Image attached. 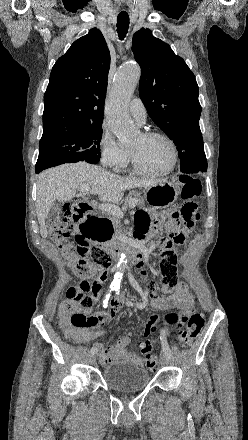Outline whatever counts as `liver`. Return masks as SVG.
I'll return each instance as SVG.
<instances>
[{
  "instance_id": "liver-1",
  "label": "liver",
  "mask_w": 248,
  "mask_h": 440,
  "mask_svg": "<svg viewBox=\"0 0 248 440\" xmlns=\"http://www.w3.org/2000/svg\"><path fill=\"white\" fill-rule=\"evenodd\" d=\"M164 180H146L131 177H121L102 167L86 162L63 164L41 172L37 178L36 213L40 225V234L46 238L48 231L45 219L52 203L70 201L76 191L89 186L87 193L97 194L107 202L118 203L124 191L156 185Z\"/></svg>"
}]
</instances>
